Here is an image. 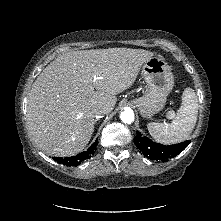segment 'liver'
Here are the masks:
<instances>
[{
  "instance_id": "1",
  "label": "liver",
  "mask_w": 221,
  "mask_h": 221,
  "mask_svg": "<svg viewBox=\"0 0 221 221\" xmlns=\"http://www.w3.org/2000/svg\"><path fill=\"white\" fill-rule=\"evenodd\" d=\"M151 57L150 51L130 48L71 51L57 57L28 95L27 128L37 146L57 157L81 152L94 131L91 110L102 106L110 113L116 95L134 84Z\"/></svg>"
}]
</instances>
